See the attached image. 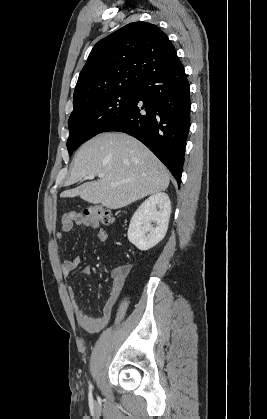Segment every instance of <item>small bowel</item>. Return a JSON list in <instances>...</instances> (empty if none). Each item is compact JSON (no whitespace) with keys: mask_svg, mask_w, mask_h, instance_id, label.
<instances>
[{"mask_svg":"<svg viewBox=\"0 0 267 419\" xmlns=\"http://www.w3.org/2000/svg\"><path fill=\"white\" fill-rule=\"evenodd\" d=\"M84 226L91 229H97V238L100 242L105 243L108 240V232L99 228V223L83 216L81 213L76 211H71L65 213L61 218V229L57 233L58 239H62L65 233L70 232L73 227ZM80 264V258L74 257L71 259H65L62 263V276L68 277L69 274L74 271ZM91 267L85 266L82 268L80 275L87 276L91 274ZM128 268H125L124 271L114 270L111 273L112 284L109 291V295L103 305L102 314L98 317L90 316L78 303L76 298V291L74 287L68 288V294L71 299V305L75 312V317L77 323L91 332H98L103 329L109 322L114 306L120 296V293L124 287L127 275Z\"/></svg>","mask_w":267,"mask_h":419,"instance_id":"obj_1","label":"small bowel"}]
</instances>
